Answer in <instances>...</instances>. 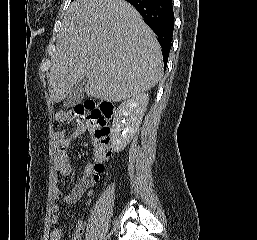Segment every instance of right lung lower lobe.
Wrapping results in <instances>:
<instances>
[{"label": "right lung lower lobe", "instance_id": "1", "mask_svg": "<svg viewBox=\"0 0 257 240\" xmlns=\"http://www.w3.org/2000/svg\"><path fill=\"white\" fill-rule=\"evenodd\" d=\"M132 4L144 18L147 25L158 36L166 67L174 29L172 0H126Z\"/></svg>", "mask_w": 257, "mask_h": 240}]
</instances>
